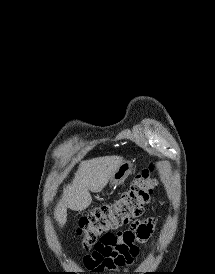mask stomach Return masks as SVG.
I'll return each mask as SVG.
<instances>
[{
  "label": "stomach",
  "instance_id": "stomach-1",
  "mask_svg": "<svg viewBox=\"0 0 215 274\" xmlns=\"http://www.w3.org/2000/svg\"><path fill=\"white\" fill-rule=\"evenodd\" d=\"M132 170V164L129 161H123L118 169L114 172L109 182L110 185L116 187L123 183L125 179L129 176Z\"/></svg>",
  "mask_w": 215,
  "mask_h": 274
}]
</instances>
